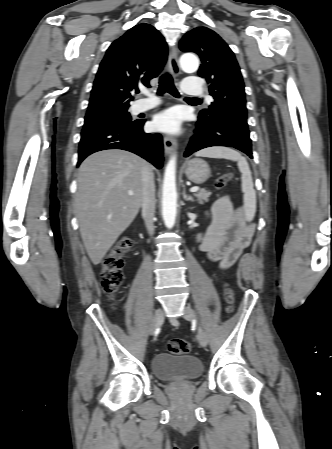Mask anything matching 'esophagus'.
Here are the masks:
<instances>
[{
  "mask_svg": "<svg viewBox=\"0 0 332 449\" xmlns=\"http://www.w3.org/2000/svg\"><path fill=\"white\" fill-rule=\"evenodd\" d=\"M168 65H169V69L172 72L174 77H177L180 75L181 71H180V67H179V63H178V50H177L176 46H174L171 49L169 59H168ZM163 143H164L165 153L167 155L171 154L177 146L176 140L170 136H164Z\"/></svg>",
  "mask_w": 332,
  "mask_h": 449,
  "instance_id": "1",
  "label": "esophagus"
}]
</instances>
